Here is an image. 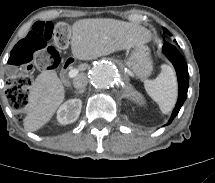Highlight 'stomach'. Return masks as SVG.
<instances>
[{
  "label": "stomach",
  "instance_id": "1",
  "mask_svg": "<svg viewBox=\"0 0 215 183\" xmlns=\"http://www.w3.org/2000/svg\"><path fill=\"white\" fill-rule=\"evenodd\" d=\"M126 65L137 77L143 78L148 76L153 68L149 48L144 45L135 47L126 59Z\"/></svg>",
  "mask_w": 215,
  "mask_h": 183
}]
</instances>
